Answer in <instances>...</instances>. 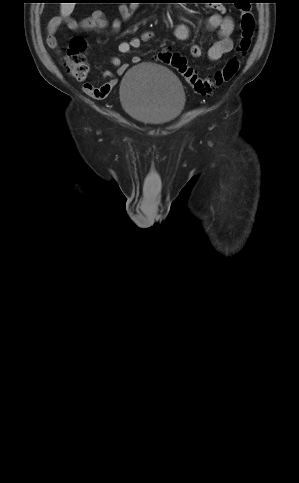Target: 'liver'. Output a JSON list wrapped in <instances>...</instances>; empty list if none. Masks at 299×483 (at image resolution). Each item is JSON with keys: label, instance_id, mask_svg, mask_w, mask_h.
<instances>
[{"label": "liver", "instance_id": "1", "mask_svg": "<svg viewBox=\"0 0 299 483\" xmlns=\"http://www.w3.org/2000/svg\"><path fill=\"white\" fill-rule=\"evenodd\" d=\"M75 3H61V16L62 17H67L69 16L73 9H74Z\"/></svg>", "mask_w": 299, "mask_h": 483}]
</instances>
